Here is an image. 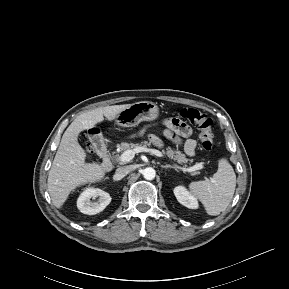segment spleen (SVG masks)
<instances>
[{"label": "spleen", "mask_w": 289, "mask_h": 289, "mask_svg": "<svg viewBox=\"0 0 289 289\" xmlns=\"http://www.w3.org/2000/svg\"><path fill=\"white\" fill-rule=\"evenodd\" d=\"M235 187L236 175L226 158L219 160L218 170L210 180L189 184L190 191L201 201L210 216H217L228 207Z\"/></svg>", "instance_id": "3e777b00"}]
</instances>
